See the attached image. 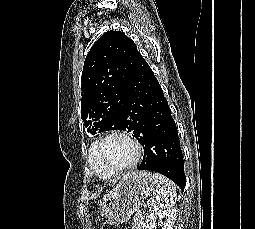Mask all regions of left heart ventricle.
Segmentation results:
<instances>
[{"mask_svg":"<svg viewBox=\"0 0 255 229\" xmlns=\"http://www.w3.org/2000/svg\"><path fill=\"white\" fill-rule=\"evenodd\" d=\"M134 157L131 144L122 137H110L98 147L97 158L106 167L114 169L129 164Z\"/></svg>","mask_w":255,"mask_h":229,"instance_id":"b2bd125f","label":"left heart ventricle"}]
</instances>
